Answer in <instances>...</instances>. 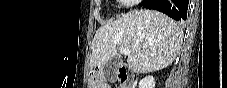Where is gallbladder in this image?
<instances>
[{
    "mask_svg": "<svg viewBox=\"0 0 227 88\" xmlns=\"http://www.w3.org/2000/svg\"><path fill=\"white\" fill-rule=\"evenodd\" d=\"M119 60L117 59H111L109 60L103 70V76L109 81L114 82L116 80V75H115V68L119 64Z\"/></svg>",
    "mask_w": 227,
    "mask_h": 88,
    "instance_id": "gallbladder-1",
    "label": "gallbladder"
}]
</instances>
